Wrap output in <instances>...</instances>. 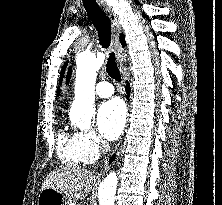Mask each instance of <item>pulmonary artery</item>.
<instances>
[{"instance_id":"obj_1","label":"pulmonary artery","mask_w":222,"mask_h":205,"mask_svg":"<svg viewBox=\"0 0 222 205\" xmlns=\"http://www.w3.org/2000/svg\"><path fill=\"white\" fill-rule=\"evenodd\" d=\"M95 92L99 97L107 98L113 95L114 89L110 83L100 82L97 84Z\"/></svg>"}]
</instances>
